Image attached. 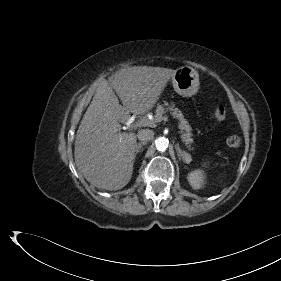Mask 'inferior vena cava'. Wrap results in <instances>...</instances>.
I'll use <instances>...</instances> for the list:
<instances>
[{
    "label": "inferior vena cava",
    "mask_w": 281,
    "mask_h": 281,
    "mask_svg": "<svg viewBox=\"0 0 281 281\" xmlns=\"http://www.w3.org/2000/svg\"><path fill=\"white\" fill-rule=\"evenodd\" d=\"M141 142H148L154 137V132L150 129H141L137 134Z\"/></svg>",
    "instance_id": "602c4592"
}]
</instances>
